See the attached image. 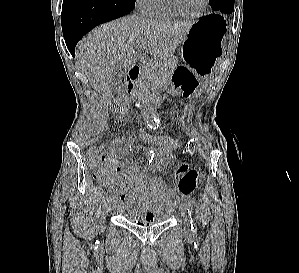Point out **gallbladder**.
<instances>
[{
  "mask_svg": "<svg viewBox=\"0 0 299 273\" xmlns=\"http://www.w3.org/2000/svg\"><path fill=\"white\" fill-rule=\"evenodd\" d=\"M125 69L117 64L112 72L110 79V88L112 93L117 97H122L125 92Z\"/></svg>",
  "mask_w": 299,
  "mask_h": 273,
  "instance_id": "bac80fb5",
  "label": "gallbladder"
}]
</instances>
